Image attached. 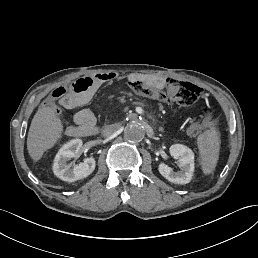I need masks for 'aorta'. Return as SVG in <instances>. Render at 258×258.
Returning <instances> with one entry per match:
<instances>
[{
	"mask_svg": "<svg viewBox=\"0 0 258 258\" xmlns=\"http://www.w3.org/2000/svg\"><path fill=\"white\" fill-rule=\"evenodd\" d=\"M124 136L130 142H140L144 138V129L138 122H130L124 129Z\"/></svg>",
	"mask_w": 258,
	"mask_h": 258,
	"instance_id": "obj_1",
	"label": "aorta"
}]
</instances>
